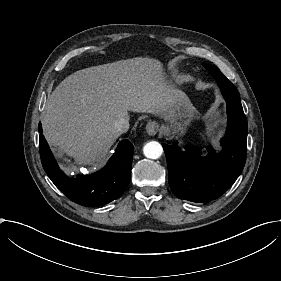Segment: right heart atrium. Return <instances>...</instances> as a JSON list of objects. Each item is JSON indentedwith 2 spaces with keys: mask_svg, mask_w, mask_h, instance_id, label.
<instances>
[{
  "mask_svg": "<svg viewBox=\"0 0 281 281\" xmlns=\"http://www.w3.org/2000/svg\"><path fill=\"white\" fill-rule=\"evenodd\" d=\"M127 117L126 111L122 105L116 104L110 114L112 120L125 119Z\"/></svg>",
  "mask_w": 281,
  "mask_h": 281,
  "instance_id": "1",
  "label": "right heart atrium"
}]
</instances>
